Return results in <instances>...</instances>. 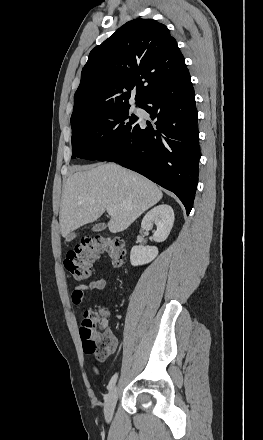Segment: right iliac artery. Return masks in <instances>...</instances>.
I'll use <instances>...</instances> for the list:
<instances>
[{"label": "right iliac artery", "mask_w": 263, "mask_h": 440, "mask_svg": "<svg viewBox=\"0 0 263 440\" xmlns=\"http://www.w3.org/2000/svg\"><path fill=\"white\" fill-rule=\"evenodd\" d=\"M117 377H118V374H117V373H115V374L112 376V378H111V380H110V382H109V384H108V386H107V389H108V390H111V389L114 387V385H115V383H116V381H117Z\"/></svg>", "instance_id": "1"}]
</instances>
